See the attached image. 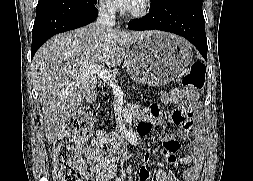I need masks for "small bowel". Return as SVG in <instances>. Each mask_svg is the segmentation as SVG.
<instances>
[{
    "label": "small bowel",
    "mask_w": 253,
    "mask_h": 181,
    "mask_svg": "<svg viewBox=\"0 0 253 181\" xmlns=\"http://www.w3.org/2000/svg\"><path fill=\"white\" fill-rule=\"evenodd\" d=\"M164 104L178 105L179 109L175 110L169 119L170 123H175L183 127L184 132L181 138H185L194 131L193 120L185 118L183 111L192 109L191 104L196 100V95L182 90H171L161 95ZM193 110V109H192ZM135 112L140 119L137 127V134L141 137L146 136L152 125H159L162 122V111L158 104L148 109L135 108ZM116 136L109 131H98L91 139V142L83 147V153L90 164L91 173L99 181H110L116 172L115 160L117 152L105 151L103 147L107 144L115 143ZM179 141L175 135H167L163 139V149L160 153L170 163H178L186 166L184 172L185 181H198L203 164V141L197 134L190 146L189 153L175 155L174 152L179 149ZM157 150H148L144 156V164L141 166L138 174V181H150L151 172L148 162L154 156ZM156 181H174L172 175L165 169L159 168L155 172Z\"/></svg>",
    "instance_id": "1"
}]
</instances>
